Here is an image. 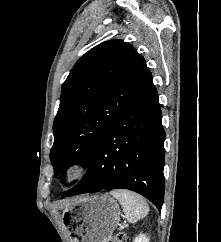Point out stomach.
<instances>
[{
	"label": "stomach",
	"mask_w": 221,
	"mask_h": 242,
	"mask_svg": "<svg viewBox=\"0 0 221 242\" xmlns=\"http://www.w3.org/2000/svg\"><path fill=\"white\" fill-rule=\"evenodd\" d=\"M67 210L71 242H108L120 220L119 205L108 194L81 196Z\"/></svg>",
	"instance_id": "obj_1"
}]
</instances>
